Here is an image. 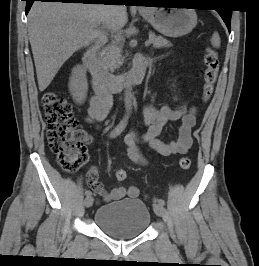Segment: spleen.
<instances>
[{
	"label": "spleen",
	"instance_id": "3e777b00",
	"mask_svg": "<svg viewBox=\"0 0 259 266\" xmlns=\"http://www.w3.org/2000/svg\"><path fill=\"white\" fill-rule=\"evenodd\" d=\"M211 44L213 45V47H220V36L217 32H214V34L212 35Z\"/></svg>",
	"mask_w": 259,
	"mask_h": 266
}]
</instances>
